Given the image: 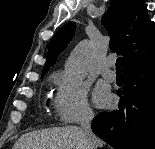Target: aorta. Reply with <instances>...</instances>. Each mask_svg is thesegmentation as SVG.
<instances>
[{"mask_svg":"<svg viewBox=\"0 0 155 149\" xmlns=\"http://www.w3.org/2000/svg\"><path fill=\"white\" fill-rule=\"evenodd\" d=\"M93 58V48L90 42H80L71 52L65 64V73L72 82L82 81L88 73L91 60Z\"/></svg>","mask_w":155,"mask_h":149,"instance_id":"obj_1","label":"aorta"}]
</instances>
